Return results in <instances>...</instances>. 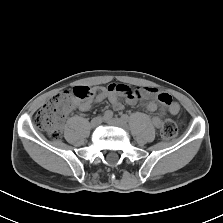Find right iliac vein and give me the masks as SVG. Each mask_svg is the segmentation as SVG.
<instances>
[{"instance_id": "63e3f726", "label": "right iliac vein", "mask_w": 223, "mask_h": 223, "mask_svg": "<svg viewBox=\"0 0 223 223\" xmlns=\"http://www.w3.org/2000/svg\"><path fill=\"white\" fill-rule=\"evenodd\" d=\"M102 121H103L102 117L97 116L91 120L90 125L91 127L95 128L98 127L102 123Z\"/></svg>"}]
</instances>
